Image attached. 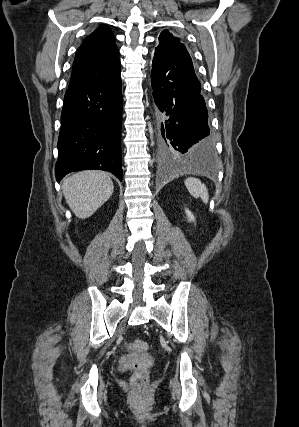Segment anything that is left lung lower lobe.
<instances>
[{
  "instance_id": "left-lung-lower-lobe-1",
  "label": "left lung lower lobe",
  "mask_w": 299,
  "mask_h": 427,
  "mask_svg": "<svg viewBox=\"0 0 299 427\" xmlns=\"http://www.w3.org/2000/svg\"><path fill=\"white\" fill-rule=\"evenodd\" d=\"M151 81L161 158L186 160L195 169L212 173L215 154L207 108L184 44L165 43L155 49Z\"/></svg>"
}]
</instances>
